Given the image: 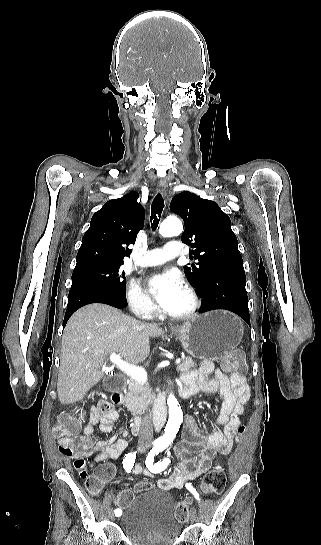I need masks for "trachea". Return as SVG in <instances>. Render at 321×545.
Segmentation results:
<instances>
[{
    "label": "trachea",
    "instance_id": "trachea-1",
    "mask_svg": "<svg viewBox=\"0 0 321 545\" xmlns=\"http://www.w3.org/2000/svg\"><path fill=\"white\" fill-rule=\"evenodd\" d=\"M163 208H164V199L160 195V193H158V195H156V197L154 198V200L152 202V205H151L150 220H151L152 230H154V231L158 227Z\"/></svg>",
    "mask_w": 321,
    "mask_h": 545
}]
</instances>
